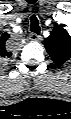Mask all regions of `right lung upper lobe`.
Masks as SVG:
<instances>
[{
    "instance_id": "right-lung-upper-lobe-1",
    "label": "right lung upper lobe",
    "mask_w": 71,
    "mask_h": 119,
    "mask_svg": "<svg viewBox=\"0 0 71 119\" xmlns=\"http://www.w3.org/2000/svg\"><path fill=\"white\" fill-rule=\"evenodd\" d=\"M9 38V34H3L0 38V55L1 57H11L12 53L7 52L5 42Z\"/></svg>"
}]
</instances>
